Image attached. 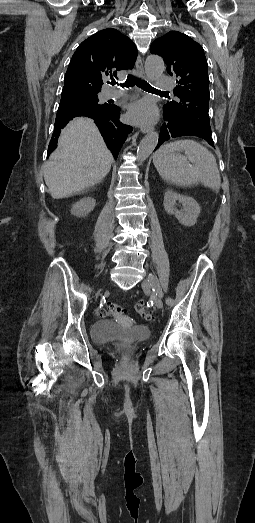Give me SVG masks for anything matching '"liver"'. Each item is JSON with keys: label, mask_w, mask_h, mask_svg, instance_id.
Masks as SVG:
<instances>
[{"label": "liver", "mask_w": 255, "mask_h": 523, "mask_svg": "<svg viewBox=\"0 0 255 523\" xmlns=\"http://www.w3.org/2000/svg\"><path fill=\"white\" fill-rule=\"evenodd\" d=\"M113 156L90 118H74L62 130L58 148L43 166L54 200L68 198L107 176Z\"/></svg>", "instance_id": "obj_1"}]
</instances>
